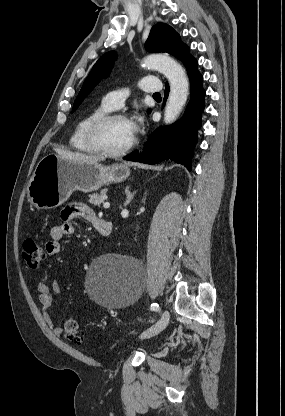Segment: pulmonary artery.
Returning <instances> with one entry per match:
<instances>
[{"instance_id":"1","label":"pulmonary artery","mask_w":285,"mask_h":416,"mask_svg":"<svg viewBox=\"0 0 285 416\" xmlns=\"http://www.w3.org/2000/svg\"><path fill=\"white\" fill-rule=\"evenodd\" d=\"M141 89L150 92L152 96L159 94V81L154 76H145L141 80ZM153 82V83H148ZM129 89L127 87H114L113 92L108 93L103 97V104L109 109H117L120 107L121 102L127 99Z\"/></svg>"}]
</instances>
